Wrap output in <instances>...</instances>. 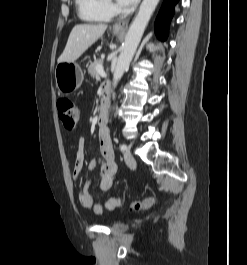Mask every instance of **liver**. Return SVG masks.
Masks as SVG:
<instances>
[{"instance_id":"obj_1","label":"liver","mask_w":247,"mask_h":265,"mask_svg":"<svg viewBox=\"0 0 247 265\" xmlns=\"http://www.w3.org/2000/svg\"><path fill=\"white\" fill-rule=\"evenodd\" d=\"M105 24L75 25L69 35L66 47L58 58V63L76 61L106 31Z\"/></svg>"}]
</instances>
